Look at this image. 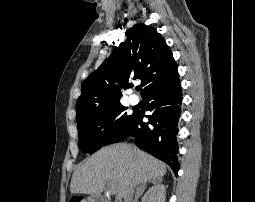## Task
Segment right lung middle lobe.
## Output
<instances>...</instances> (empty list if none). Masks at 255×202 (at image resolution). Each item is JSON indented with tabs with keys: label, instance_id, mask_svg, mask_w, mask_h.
I'll return each instance as SVG.
<instances>
[{
	"label": "right lung middle lobe",
	"instance_id": "obj_1",
	"mask_svg": "<svg viewBox=\"0 0 255 202\" xmlns=\"http://www.w3.org/2000/svg\"><path fill=\"white\" fill-rule=\"evenodd\" d=\"M121 103L93 110L77 118L79 148L94 153L102 146L124 139L135 117Z\"/></svg>",
	"mask_w": 255,
	"mask_h": 202
}]
</instances>
